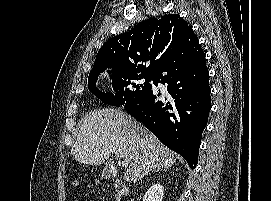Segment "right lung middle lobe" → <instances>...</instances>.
Here are the masks:
<instances>
[{"label": "right lung middle lobe", "instance_id": "obj_1", "mask_svg": "<svg viewBox=\"0 0 271 201\" xmlns=\"http://www.w3.org/2000/svg\"><path fill=\"white\" fill-rule=\"evenodd\" d=\"M98 76L99 74L88 78L89 90L102 102L114 106L124 105L126 102L147 93L152 88L149 82L154 79V75L111 74L110 78L114 89V93H112L102 92L97 88ZM142 79L145 81L142 82Z\"/></svg>", "mask_w": 271, "mask_h": 201}]
</instances>
